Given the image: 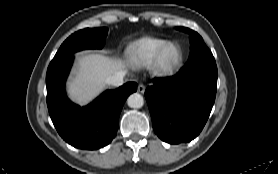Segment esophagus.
<instances>
[{
	"label": "esophagus",
	"mask_w": 278,
	"mask_h": 174,
	"mask_svg": "<svg viewBox=\"0 0 278 174\" xmlns=\"http://www.w3.org/2000/svg\"><path fill=\"white\" fill-rule=\"evenodd\" d=\"M137 90L139 93H144L145 92V86L143 84H139L137 87Z\"/></svg>",
	"instance_id": "obj_1"
}]
</instances>
